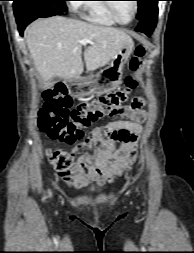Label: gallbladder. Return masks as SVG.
I'll use <instances>...</instances> for the list:
<instances>
[{"label": "gallbladder", "mask_w": 194, "mask_h": 253, "mask_svg": "<svg viewBox=\"0 0 194 253\" xmlns=\"http://www.w3.org/2000/svg\"><path fill=\"white\" fill-rule=\"evenodd\" d=\"M59 82V77H53L50 81H49V85L53 86L55 84H57Z\"/></svg>", "instance_id": "bac80fb5"}]
</instances>
